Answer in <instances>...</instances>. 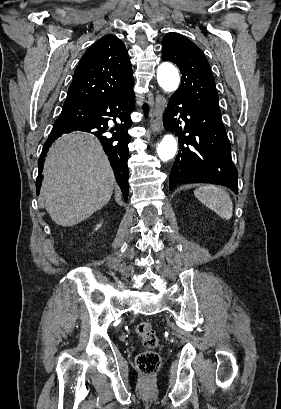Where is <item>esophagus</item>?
Here are the masks:
<instances>
[{"label":"esophagus","mask_w":281,"mask_h":409,"mask_svg":"<svg viewBox=\"0 0 281 409\" xmlns=\"http://www.w3.org/2000/svg\"><path fill=\"white\" fill-rule=\"evenodd\" d=\"M166 99L163 95L158 94L155 97L154 106L150 113V126L153 133H161L163 127V113L165 110Z\"/></svg>","instance_id":"1"}]
</instances>
